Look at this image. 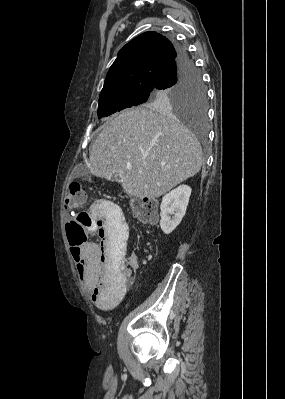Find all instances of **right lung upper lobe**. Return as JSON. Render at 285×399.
<instances>
[{
	"label": "right lung upper lobe",
	"mask_w": 285,
	"mask_h": 399,
	"mask_svg": "<svg viewBox=\"0 0 285 399\" xmlns=\"http://www.w3.org/2000/svg\"><path fill=\"white\" fill-rule=\"evenodd\" d=\"M177 57L173 44L156 32H145L118 53L100 97L134 89H155L164 70Z\"/></svg>",
	"instance_id": "cb5924a9"
}]
</instances>
